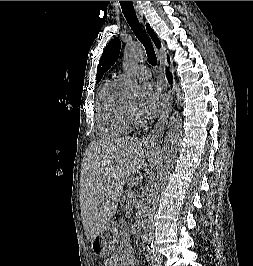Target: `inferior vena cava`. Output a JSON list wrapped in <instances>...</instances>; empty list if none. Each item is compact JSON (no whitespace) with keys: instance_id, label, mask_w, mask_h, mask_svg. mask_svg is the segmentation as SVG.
<instances>
[{"instance_id":"obj_1","label":"inferior vena cava","mask_w":253,"mask_h":266,"mask_svg":"<svg viewBox=\"0 0 253 266\" xmlns=\"http://www.w3.org/2000/svg\"><path fill=\"white\" fill-rule=\"evenodd\" d=\"M154 257L157 258L158 260H161V256H160L158 253H156V254L154 255Z\"/></svg>"}]
</instances>
